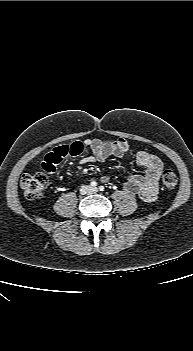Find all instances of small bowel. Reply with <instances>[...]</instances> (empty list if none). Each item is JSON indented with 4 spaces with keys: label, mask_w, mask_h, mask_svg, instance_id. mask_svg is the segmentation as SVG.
I'll use <instances>...</instances> for the list:
<instances>
[{
    "label": "small bowel",
    "mask_w": 193,
    "mask_h": 351,
    "mask_svg": "<svg viewBox=\"0 0 193 351\" xmlns=\"http://www.w3.org/2000/svg\"><path fill=\"white\" fill-rule=\"evenodd\" d=\"M90 149V156H83ZM130 155L128 142L123 138L102 140L98 138L73 141L55 145L48 153L43 163V169L53 174L62 160L68 157L83 156L79 162L84 165L90 162H101L111 157L124 158ZM136 163L144 170V175L130 174L124 183L123 190L129 195H137L145 202H152L158 194L160 177L164 170L163 162L156 156L140 151L135 155ZM101 182H108L107 176L101 177Z\"/></svg>",
    "instance_id": "small-bowel-1"
}]
</instances>
